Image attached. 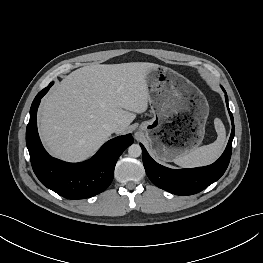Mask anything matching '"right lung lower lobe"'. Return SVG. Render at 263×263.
<instances>
[{"label": "right lung lower lobe", "instance_id": "1", "mask_svg": "<svg viewBox=\"0 0 263 263\" xmlns=\"http://www.w3.org/2000/svg\"><path fill=\"white\" fill-rule=\"evenodd\" d=\"M53 82L35 97L26 129L31 165L40 182L60 196L85 199L103 192L112 182L114 168L122 152L133 143L130 134L106 142L89 160L67 163L51 157L43 148L37 131V109Z\"/></svg>", "mask_w": 263, "mask_h": 263}]
</instances>
